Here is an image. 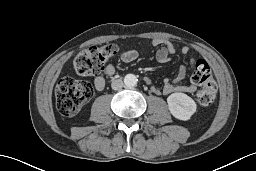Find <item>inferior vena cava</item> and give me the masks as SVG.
Segmentation results:
<instances>
[{"label": "inferior vena cava", "mask_w": 256, "mask_h": 171, "mask_svg": "<svg viewBox=\"0 0 256 171\" xmlns=\"http://www.w3.org/2000/svg\"><path fill=\"white\" fill-rule=\"evenodd\" d=\"M124 86V83L121 79L113 80L111 83V87L113 90H120Z\"/></svg>", "instance_id": "1"}]
</instances>
